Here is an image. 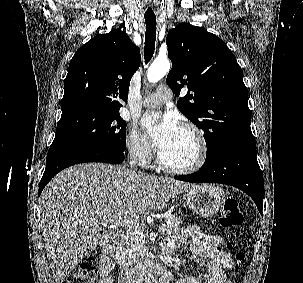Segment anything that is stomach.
I'll return each mask as SVG.
<instances>
[{
  "label": "stomach",
  "instance_id": "0dacf381",
  "mask_svg": "<svg viewBox=\"0 0 303 283\" xmlns=\"http://www.w3.org/2000/svg\"><path fill=\"white\" fill-rule=\"evenodd\" d=\"M187 206L197 215L209 218L223 206L224 192L213 185H195L186 189Z\"/></svg>",
  "mask_w": 303,
  "mask_h": 283
}]
</instances>
